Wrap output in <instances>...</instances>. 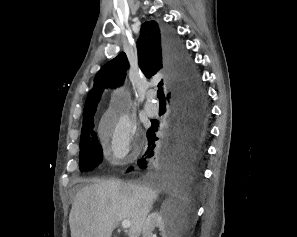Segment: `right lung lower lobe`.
<instances>
[{
	"label": "right lung lower lobe",
	"instance_id": "obj_1",
	"mask_svg": "<svg viewBox=\"0 0 297 237\" xmlns=\"http://www.w3.org/2000/svg\"><path fill=\"white\" fill-rule=\"evenodd\" d=\"M163 45L168 68L172 75L169 128L164 137H156L159 123L147 130L148 149L138 161L147 177L157 179L173 174H200L205 154L202 139L207 114L205 94L192 68L181 40L172 28L162 27ZM130 169H133L131 167Z\"/></svg>",
	"mask_w": 297,
	"mask_h": 237
}]
</instances>
